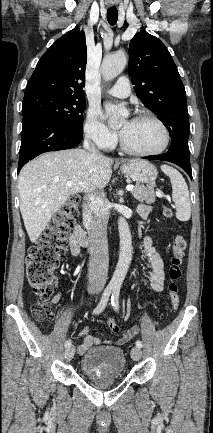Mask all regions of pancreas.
Here are the masks:
<instances>
[{
    "label": "pancreas",
    "mask_w": 213,
    "mask_h": 433,
    "mask_svg": "<svg viewBox=\"0 0 213 433\" xmlns=\"http://www.w3.org/2000/svg\"><path fill=\"white\" fill-rule=\"evenodd\" d=\"M155 184L151 183L148 186H143L136 184L134 189L132 190V194L135 199H137L140 202H146L148 204L155 202V190H154Z\"/></svg>",
    "instance_id": "1"
}]
</instances>
